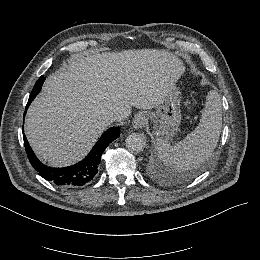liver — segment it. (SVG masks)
Listing matches in <instances>:
<instances>
[{
	"label": "liver",
	"mask_w": 260,
	"mask_h": 260,
	"mask_svg": "<svg viewBox=\"0 0 260 260\" xmlns=\"http://www.w3.org/2000/svg\"><path fill=\"white\" fill-rule=\"evenodd\" d=\"M185 72L166 50L134 49L78 55L46 78L25 119L27 140L52 167L72 165L106 129L104 116L127 119L132 107L156 108Z\"/></svg>",
	"instance_id": "6515ba94"
}]
</instances>
